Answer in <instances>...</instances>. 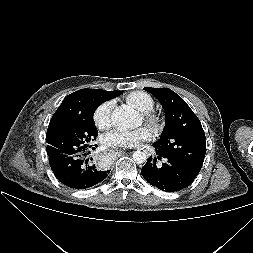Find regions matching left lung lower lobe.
<instances>
[{
    "label": "left lung lower lobe",
    "instance_id": "1",
    "mask_svg": "<svg viewBox=\"0 0 253 253\" xmlns=\"http://www.w3.org/2000/svg\"><path fill=\"white\" fill-rule=\"evenodd\" d=\"M156 154L157 158L150 157L141 169L142 176L150 185L166 192L180 191L198 175L176 160ZM157 159H164L162 166L156 165Z\"/></svg>",
    "mask_w": 253,
    "mask_h": 253
}]
</instances>
